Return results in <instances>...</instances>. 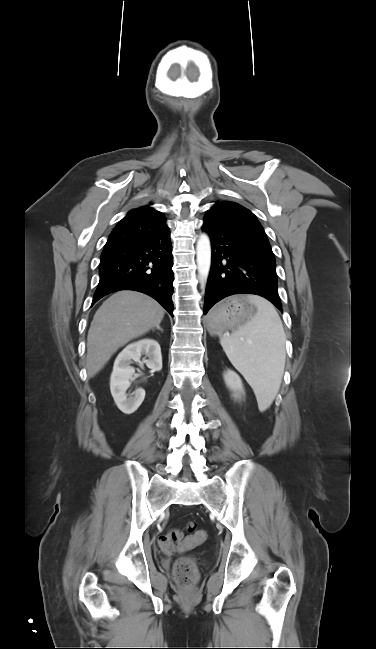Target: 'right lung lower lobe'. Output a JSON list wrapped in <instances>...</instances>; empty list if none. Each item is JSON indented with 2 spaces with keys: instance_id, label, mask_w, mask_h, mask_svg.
<instances>
[{
  "instance_id": "right-lung-lower-lobe-1",
  "label": "right lung lower lobe",
  "mask_w": 376,
  "mask_h": 649,
  "mask_svg": "<svg viewBox=\"0 0 376 649\" xmlns=\"http://www.w3.org/2000/svg\"><path fill=\"white\" fill-rule=\"evenodd\" d=\"M169 229L104 247L100 281L92 305L119 290H135L157 300L173 316V260Z\"/></svg>"
}]
</instances>
